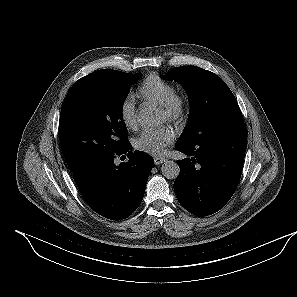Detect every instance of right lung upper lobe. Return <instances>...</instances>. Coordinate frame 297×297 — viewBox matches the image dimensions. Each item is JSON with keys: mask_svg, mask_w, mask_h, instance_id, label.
<instances>
[{"mask_svg": "<svg viewBox=\"0 0 297 297\" xmlns=\"http://www.w3.org/2000/svg\"><path fill=\"white\" fill-rule=\"evenodd\" d=\"M112 69H103V70H98L96 72L90 73L89 75L81 78V79H87V78H91V77H100V76H105L107 74H109L110 72H112Z\"/></svg>", "mask_w": 297, "mask_h": 297, "instance_id": "right-lung-upper-lobe-1", "label": "right lung upper lobe"}]
</instances>
